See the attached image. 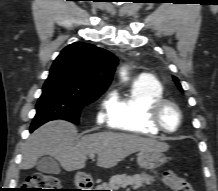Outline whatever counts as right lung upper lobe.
Returning <instances> with one entry per match:
<instances>
[{
    "mask_svg": "<svg viewBox=\"0 0 218 191\" xmlns=\"http://www.w3.org/2000/svg\"><path fill=\"white\" fill-rule=\"evenodd\" d=\"M117 64V58L111 52L91 44L75 42L61 51L50 72L63 76L81 89L104 92Z\"/></svg>",
    "mask_w": 218,
    "mask_h": 191,
    "instance_id": "right-lung-upper-lobe-1",
    "label": "right lung upper lobe"
}]
</instances>
